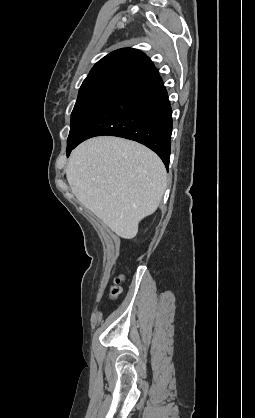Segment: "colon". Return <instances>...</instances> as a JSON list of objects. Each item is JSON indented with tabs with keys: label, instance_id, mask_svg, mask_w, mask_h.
Returning <instances> with one entry per match:
<instances>
[{
	"label": "colon",
	"instance_id": "1",
	"mask_svg": "<svg viewBox=\"0 0 255 418\" xmlns=\"http://www.w3.org/2000/svg\"><path fill=\"white\" fill-rule=\"evenodd\" d=\"M121 278H116L114 285L111 287L110 294L112 297H115L120 292L119 282Z\"/></svg>",
	"mask_w": 255,
	"mask_h": 418
}]
</instances>
